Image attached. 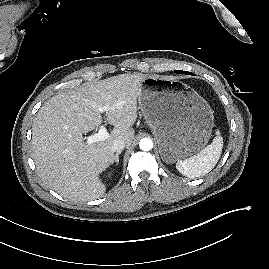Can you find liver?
<instances>
[{"instance_id":"1","label":"liver","mask_w":269,"mask_h":269,"mask_svg":"<svg viewBox=\"0 0 269 269\" xmlns=\"http://www.w3.org/2000/svg\"><path fill=\"white\" fill-rule=\"evenodd\" d=\"M145 74H121L89 86L59 93L40 108L32 126V157L42 181L71 201L101 197L106 187L99 175L112 164L113 141L130 145L134 139L137 98ZM107 106V122L113 125L109 137L85 142L83 133L98 128Z\"/></svg>"}]
</instances>
